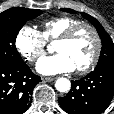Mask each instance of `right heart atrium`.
Here are the masks:
<instances>
[{
    "label": "right heart atrium",
    "instance_id": "right-heart-atrium-1",
    "mask_svg": "<svg viewBox=\"0 0 114 114\" xmlns=\"http://www.w3.org/2000/svg\"><path fill=\"white\" fill-rule=\"evenodd\" d=\"M15 47L22 58L34 63L46 52V41L41 33L30 26H23L15 37Z\"/></svg>",
    "mask_w": 114,
    "mask_h": 114
}]
</instances>
